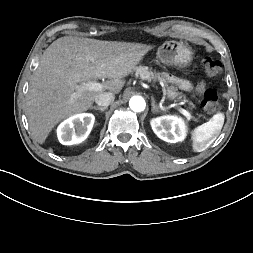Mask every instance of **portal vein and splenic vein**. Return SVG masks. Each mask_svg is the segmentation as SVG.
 <instances>
[{"label": "portal vein and splenic vein", "mask_w": 253, "mask_h": 253, "mask_svg": "<svg viewBox=\"0 0 253 253\" xmlns=\"http://www.w3.org/2000/svg\"><path fill=\"white\" fill-rule=\"evenodd\" d=\"M104 88V85L95 81H89L85 84L77 87V92L73 94V98H76L80 93L84 91H99ZM181 114H183L188 120L191 119V115L188 111L183 108H179Z\"/></svg>", "instance_id": "portal-vein-and-splenic-vein-1"}]
</instances>
